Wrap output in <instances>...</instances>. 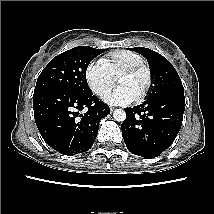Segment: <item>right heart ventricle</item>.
Returning a JSON list of instances; mask_svg holds the SVG:
<instances>
[{"label": "right heart ventricle", "mask_w": 214, "mask_h": 214, "mask_svg": "<svg viewBox=\"0 0 214 214\" xmlns=\"http://www.w3.org/2000/svg\"><path fill=\"white\" fill-rule=\"evenodd\" d=\"M101 60L106 65L113 77L119 76L123 70L129 67L144 62L142 55L129 50L113 51Z\"/></svg>", "instance_id": "obj_1"}]
</instances>
